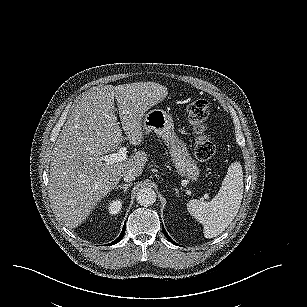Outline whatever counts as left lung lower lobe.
Wrapping results in <instances>:
<instances>
[{"mask_svg": "<svg viewBox=\"0 0 307 307\" xmlns=\"http://www.w3.org/2000/svg\"><path fill=\"white\" fill-rule=\"evenodd\" d=\"M162 231H163L164 235L166 236V238H167L168 240H170V242L174 243L175 245H178L177 243H175V242L169 237V235H168L167 232L165 231L163 225H162Z\"/></svg>", "mask_w": 307, "mask_h": 307, "instance_id": "obj_1", "label": "left lung lower lobe"}]
</instances>
